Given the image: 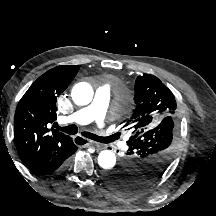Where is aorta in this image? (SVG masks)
Masks as SVG:
<instances>
[{
	"instance_id": "1",
	"label": "aorta",
	"mask_w": 216,
	"mask_h": 216,
	"mask_svg": "<svg viewBox=\"0 0 216 216\" xmlns=\"http://www.w3.org/2000/svg\"><path fill=\"white\" fill-rule=\"evenodd\" d=\"M93 89L88 83H78L72 89V99L77 105H88L93 99ZM98 164L105 170L112 169L116 164V156L110 150H103L98 155Z\"/></svg>"
}]
</instances>
